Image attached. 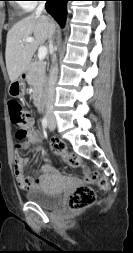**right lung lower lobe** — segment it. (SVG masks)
Returning a JSON list of instances; mask_svg holds the SVG:
<instances>
[{
  "label": "right lung lower lobe",
  "instance_id": "1",
  "mask_svg": "<svg viewBox=\"0 0 133 253\" xmlns=\"http://www.w3.org/2000/svg\"><path fill=\"white\" fill-rule=\"evenodd\" d=\"M69 0H46L47 12L59 23L61 27L65 24L66 3Z\"/></svg>",
  "mask_w": 133,
  "mask_h": 253
}]
</instances>
